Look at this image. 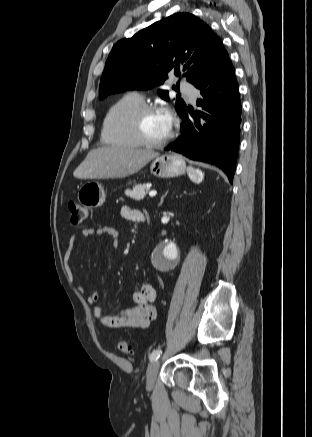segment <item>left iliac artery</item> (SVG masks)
Instances as JSON below:
<instances>
[{
    "label": "left iliac artery",
    "instance_id": "left-iliac-artery-1",
    "mask_svg": "<svg viewBox=\"0 0 312 437\" xmlns=\"http://www.w3.org/2000/svg\"><path fill=\"white\" fill-rule=\"evenodd\" d=\"M162 354V350L161 349H156L154 350L151 355H150V361H157L160 357V355Z\"/></svg>",
    "mask_w": 312,
    "mask_h": 437
}]
</instances>
